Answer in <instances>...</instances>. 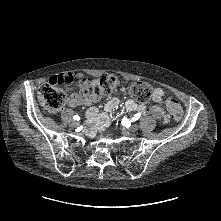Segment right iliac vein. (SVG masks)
<instances>
[{
  "mask_svg": "<svg viewBox=\"0 0 221 221\" xmlns=\"http://www.w3.org/2000/svg\"><path fill=\"white\" fill-rule=\"evenodd\" d=\"M79 125V122L74 121L71 123V127L76 128Z\"/></svg>",
  "mask_w": 221,
  "mask_h": 221,
  "instance_id": "1",
  "label": "right iliac vein"
}]
</instances>
